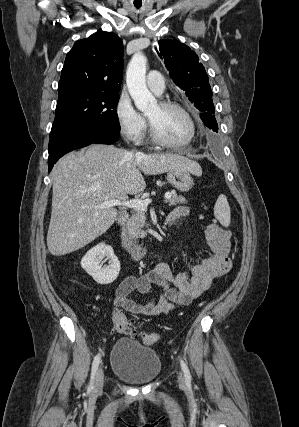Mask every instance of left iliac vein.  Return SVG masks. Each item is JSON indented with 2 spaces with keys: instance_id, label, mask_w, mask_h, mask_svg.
Wrapping results in <instances>:
<instances>
[{
  "instance_id": "1",
  "label": "left iliac vein",
  "mask_w": 299,
  "mask_h": 427,
  "mask_svg": "<svg viewBox=\"0 0 299 427\" xmlns=\"http://www.w3.org/2000/svg\"><path fill=\"white\" fill-rule=\"evenodd\" d=\"M178 379H179V382H180V383H183V377H182V375H181V374H179V375H178Z\"/></svg>"
}]
</instances>
